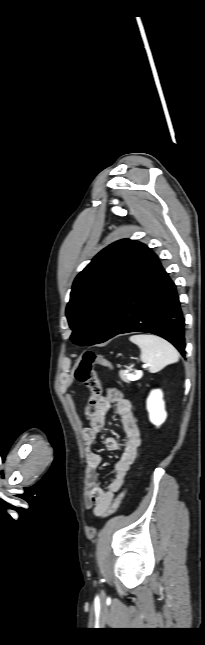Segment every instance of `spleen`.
<instances>
[{
    "label": "spleen",
    "instance_id": "obj_1",
    "mask_svg": "<svg viewBox=\"0 0 205 645\" xmlns=\"http://www.w3.org/2000/svg\"><path fill=\"white\" fill-rule=\"evenodd\" d=\"M130 341L141 349V361L149 366L150 373H156L165 366L178 362L179 354L172 344L155 335L138 334Z\"/></svg>",
    "mask_w": 205,
    "mask_h": 645
}]
</instances>
